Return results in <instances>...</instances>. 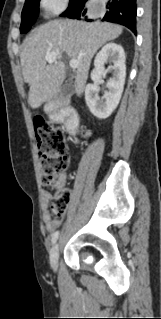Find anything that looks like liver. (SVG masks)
I'll return each instance as SVG.
<instances>
[{"label": "liver", "mask_w": 161, "mask_h": 319, "mask_svg": "<svg viewBox=\"0 0 161 319\" xmlns=\"http://www.w3.org/2000/svg\"><path fill=\"white\" fill-rule=\"evenodd\" d=\"M123 28L107 22L53 20L34 29L26 39L20 55L24 81L29 84L28 101L33 109L49 102L65 79V65H46L48 52L65 53L78 61L75 91L80 96L85 88L91 60L106 42L119 37Z\"/></svg>", "instance_id": "1"}]
</instances>
